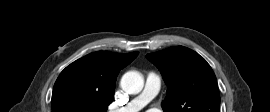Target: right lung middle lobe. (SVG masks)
Instances as JSON below:
<instances>
[{"label": "right lung middle lobe", "instance_id": "dd1d6c3e", "mask_svg": "<svg viewBox=\"0 0 270 112\" xmlns=\"http://www.w3.org/2000/svg\"><path fill=\"white\" fill-rule=\"evenodd\" d=\"M51 103L52 112H106L110 104L72 92L60 94Z\"/></svg>", "mask_w": 270, "mask_h": 112}]
</instances>
